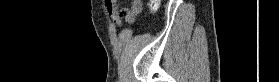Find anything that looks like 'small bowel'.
I'll return each mask as SVG.
<instances>
[{
  "label": "small bowel",
  "mask_w": 279,
  "mask_h": 82,
  "mask_svg": "<svg viewBox=\"0 0 279 82\" xmlns=\"http://www.w3.org/2000/svg\"><path fill=\"white\" fill-rule=\"evenodd\" d=\"M106 7L112 20L119 26L122 25L123 19H125L127 23H133L141 11V8L136 7L135 1L127 8H118L116 2L107 0Z\"/></svg>",
  "instance_id": "1"
}]
</instances>
